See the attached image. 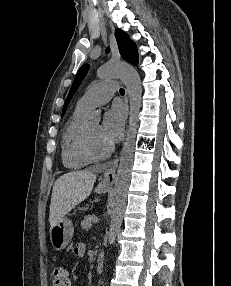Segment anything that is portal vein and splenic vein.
I'll return each mask as SVG.
<instances>
[{
  "label": "portal vein and splenic vein",
  "mask_w": 231,
  "mask_h": 286,
  "mask_svg": "<svg viewBox=\"0 0 231 286\" xmlns=\"http://www.w3.org/2000/svg\"><path fill=\"white\" fill-rule=\"evenodd\" d=\"M92 222H93V223H97V222H98V217H97V216H94L93 219H92Z\"/></svg>",
  "instance_id": "portal-vein-and-splenic-vein-1"
}]
</instances>
